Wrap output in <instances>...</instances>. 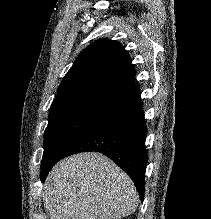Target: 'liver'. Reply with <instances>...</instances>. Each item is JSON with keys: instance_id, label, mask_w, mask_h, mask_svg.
Wrapping results in <instances>:
<instances>
[{"instance_id": "1", "label": "liver", "mask_w": 211, "mask_h": 219, "mask_svg": "<svg viewBox=\"0 0 211 219\" xmlns=\"http://www.w3.org/2000/svg\"><path fill=\"white\" fill-rule=\"evenodd\" d=\"M134 183L112 160L97 152L80 153L50 171L44 207L50 219H120L135 212Z\"/></svg>"}]
</instances>
